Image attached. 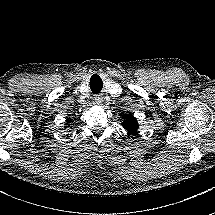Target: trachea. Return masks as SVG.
<instances>
[{"label":"trachea","mask_w":215,"mask_h":215,"mask_svg":"<svg viewBox=\"0 0 215 215\" xmlns=\"http://www.w3.org/2000/svg\"><path fill=\"white\" fill-rule=\"evenodd\" d=\"M101 88H102L101 85L98 84V87H95L94 91H95V92H98V91L101 90Z\"/></svg>","instance_id":"1"}]
</instances>
